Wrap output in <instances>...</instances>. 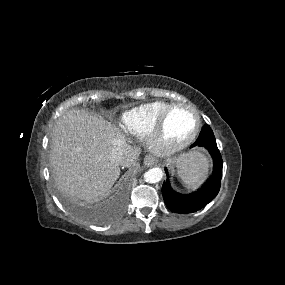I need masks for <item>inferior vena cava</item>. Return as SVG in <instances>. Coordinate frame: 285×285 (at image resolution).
Masks as SVG:
<instances>
[{"mask_svg":"<svg viewBox=\"0 0 285 285\" xmlns=\"http://www.w3.org/2000/svg\"><path fill=\"white\" fill-rule=\"evenodd\" d=\"M111 159L113 162H115L119 165H122L124 162L121 152H113L111 154Z\"/></svg>","mask_w":285,"mask_h":285,"instance_id":"1","label":"inferior vena cava"}]
</instances>
